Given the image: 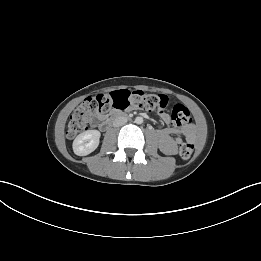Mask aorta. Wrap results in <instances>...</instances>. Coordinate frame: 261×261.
<instances>
[{
	"label": "aorta",
	"mask_w": 261,
	"mask_h": 261,
	"mask_svg": "<svg viewBox=\"0 0 261 261\" xmlns=\"http://www.w3.org/2000/svg\"><path fill=\"white\" fill-rule=\"evenodd\" d=\"M135 123L142 124L143 123V118L142 117H136Z\"/></svg>",
	"instance_id": "762f6f07"
}]
</instances>
